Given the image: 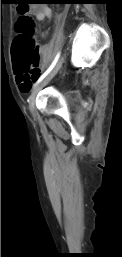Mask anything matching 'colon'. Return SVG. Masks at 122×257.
<instances>
[{
	"mask_svg": "<svg viewBox=\"0 0 122 257\" xmlns=\"http://www.w3.org/2000/svg\"><path fill=\"white\" fill-rule=\"evenodd\" d=\"M33 9V5H15L21 17L17 23L19 34L14 38L11 48L15 71L27 80L37 77L40 71V54L33 24L26 16L28 10Z\"/></svg>",
	"mask_w": 122,
	"mask_h": 257,
	"instance_id": "obj_1",
	"label": "colon"
}]
</instances>
